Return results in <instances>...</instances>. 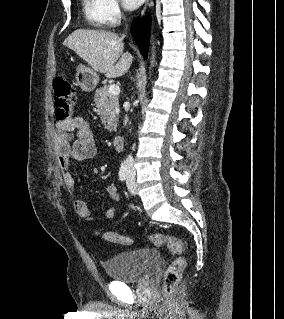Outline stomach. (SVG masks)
I'll return each mask as SVG.
<instances>
[{"instance_id": "obj_1", "label": "stomach", "mask_w": 284, "mask_h": 319, "mask_svg": "<svg viewBox=\"0 0 284 319\" xmlns=\"http://www.w3.org/2000/svg\"><path fill=\"white\" fill-rule=\"evenodd\" d=\"M76 72L78 86L85 92L93 91L99 81L97 73L85 65H79Z\"/></svg>"}]
</instances>
